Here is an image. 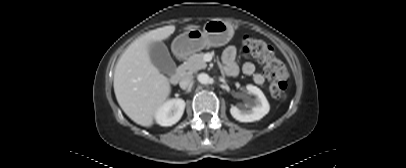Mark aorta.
I'll return each mask as SVG.
<instances>
[{"mask_svg":"<svg viewBox=\"0 0 406 168\" xmlns=\"http://www.w3.org/2000/svg\"><path fill=\"white\" fill-rule=\"evenodd\" d=\"M198 81L201 84H208L209 81H210V77L205 73H201V74L198 75Z\"/></svg>","mask_w":406,"mask_h":168,"instance_id":"1","label":"aorta"}]
</instances>
